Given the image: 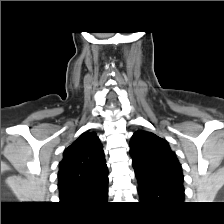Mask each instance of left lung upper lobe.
<instances>
[{
	"label": "left lung upper lobe",
	"instance_id": "5c2ea615",
	"mask_svg": "<svg viewBox=\"0 0 224 224\" xmlns=\"http://www.w3.org/2000/svg\"><path fill=\"white\" fill-rule=\"evenodd\" d=\"M132 165L143 178L158 182L183 183L181 164L166 140L147 132H136L130 142Z\"/></svg>",
	"mask_w": 224,
	"mask_h": 224
}]
</instances>
